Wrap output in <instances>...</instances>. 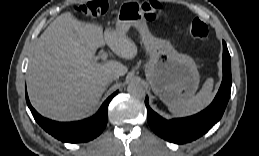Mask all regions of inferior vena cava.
Wrapping results in <instances>:
<instances>
[{"instance_id": "1", "label": "inferior vena cava", "mask_w": 259, "mask_h": 156, "mask_svg": "<svg viewBox=\"0 0 259 156\" xmlns=\"http://www.w3.org/2000/svg\"><path fill=\"white\" fill-rule=\"evenodd\" d=\"M119 74L117 72H111L109 74H107V81L108 82H112L113 80H117L119 78Z\"/></svg>"}]
</instances>
